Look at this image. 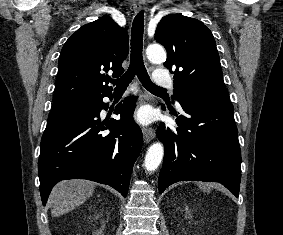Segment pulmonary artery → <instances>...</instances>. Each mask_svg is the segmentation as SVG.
Here are the masks:
<instances>
[{
	"mask_svg": "<svg viewBox=\"0 0 283 235\" xmlns=\"http://www.w3.org/2000/svg\"><path fill=\"white\" fill-rule=\"evenodd\" d=\"M154 79L159 87L171 88L173 86L172 79L168 77L167 73L164 70H157L154 73Z\"/></svg>",
	"mask_w": 283,
	"mask_h": 235,
	"instance_id": "obj_1",
	"label": "pulmonary artery"
}]
</instances>
